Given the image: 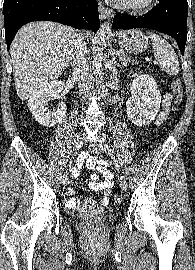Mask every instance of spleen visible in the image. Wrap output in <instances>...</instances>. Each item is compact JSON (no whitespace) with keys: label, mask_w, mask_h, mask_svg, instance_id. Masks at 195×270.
<instances>
[{"label":"spleen","mask_w":195,"mask_h":270,"mask_svg":"<svg viewBox=\"0 0 195 270\" xmlns=\"http://www.w3.org/2000/svg\"><path fill=\"white\" fill-rule=\"evenodd\" d=\"M152 41L155 59L162 65L163 70L171 75H177L180 71L178 57L172 46L159 35L148 32Z\"/></svg>","instance_id":"3e777b00"}]
</instances>
